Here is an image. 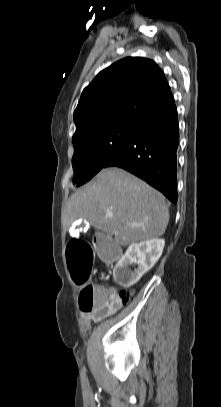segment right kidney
<instances>
[{
    "mask_svg": "<svg viewBox=\"0 0 221 407\" xmlns=\"http://www.w3.org/2000/svg\"><path fill=\"white\" fill-rule=\"evenodd\" d=\"M164 245L165 240L158 238L131 244L113 270L118 283L125 288L136 284L158 261ZM133 263L137 268L130 271L127 267Z\"/></svg>",
    "mask_w": 221,
    "mask_h": 407,
    "instance_id": "right-kidney-1",
    "label": "right kidney"
}]
</instances>
